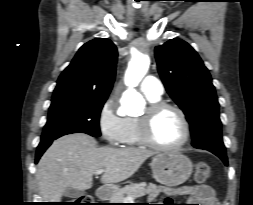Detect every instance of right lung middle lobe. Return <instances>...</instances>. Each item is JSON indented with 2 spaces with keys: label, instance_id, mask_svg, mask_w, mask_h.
<instances>
[{
  "label": "right lung middle lobe",
  "instance_id": "1",
  "mask_svg": "<svg viewBox=\"0 0 253 205\" xmlns=\"http://www.w3.org/2000/svg\"><path fill=\"white\" fill-rule=\"evenodd\" d=\"M106 99L72 97L52 100L41 140L78 132L99 137V117Z\"/></svg>",
  "mask_w": 253,
  "mask_h": 205
}]
</instances>
